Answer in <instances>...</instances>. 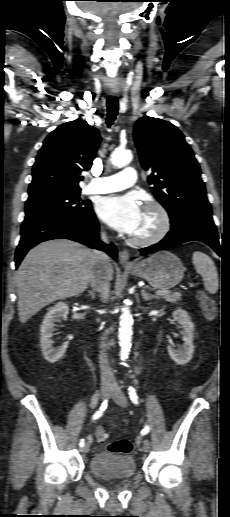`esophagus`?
<instances>
[{
    "label": "esophagus",
    "mask_w": 230,
    "mask_h": 517,
    "mask_svg": "<svg viewBox=\"0 0 230 517\" xmlns=\"http://www.w3.org/2000/svg\"><path fill=\"white\" fill-rule=\"evenodd\" d=\"M129 258H130L129 252L126 249H123L119 253V262H120V264H122L124 266H132L133 263L130 262Z\"/></svg>",
    "instance_id": "34e87169"
}]
</instances>
